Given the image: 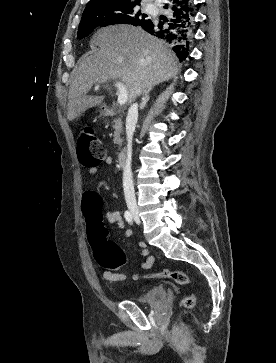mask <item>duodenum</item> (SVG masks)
Instances as JSON below:
<instances>
[{
    "label": "duodenum",
    "mask_w": 276,
    "mask_h": 363,
    "mask_svg": "<svg viewBox=\"0 0 276 363\" xmlns=\"http://www.w3.org/2000/svg\"><path fill=\"white\" fill-rule=\"evenodd\" d=\"M104 115L107 117H111L115 115V111L111 108L105 107L103 109ZM125 159H126V153L124 150H121L118 152L117 154V162L120 166H123L125 163Z\"/></svg>",
    "instance_id": "duodenum-1"
}]
</instances>
